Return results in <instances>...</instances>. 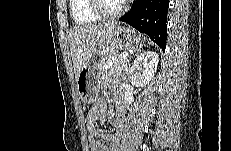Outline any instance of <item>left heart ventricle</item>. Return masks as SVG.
I'll use <instances>...</instances> for the list:
<instances>
[{"instance_id": "b2bd125f", "label": "left heart ventricle", "mask_w": 231, "mask_h": 151, "mask_svg": "<svg viewBox=\"0 0 231 151\" xmlns=\"http://www.w3.org/2000/svg\"><path fill=\"white\" fill-rule=\"evenodd\" d=\"M103 9L108 13L116 12L123 2L119 0H103Z\"/></svg>"}]
</instances>
